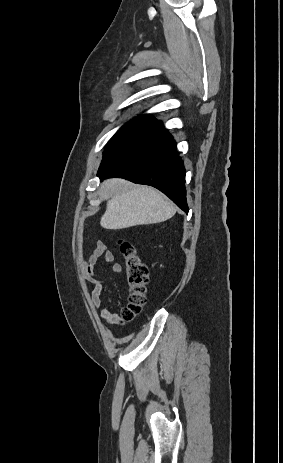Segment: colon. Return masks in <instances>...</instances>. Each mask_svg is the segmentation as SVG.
Segmentation results:
<instances>
[{
	"label": "colon",
	"mask_w": 283,
	"mask_h": 463,
	"mask_svg": "<svg viewBox=\"0 0 283 463\" xmlns=\"http://www.w3.org/2000/svg\"><path fill=\"white\" fill-rule=\"evenodd\" d=\"M118 245L124 258L128 289V303L121 310L118 321L125 323L139 315L146 303L149 290V272L132 243L120 239Z\"/></svg>",
	"instance_id": "colon-1"
}]
</instances>
